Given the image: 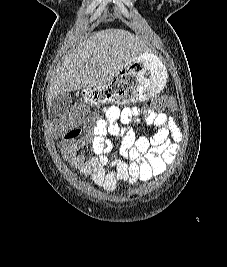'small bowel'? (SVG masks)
Segmentation results:
<instances>
[{"mask_svg":"<svg viewBox=\"0 0 227 267\" xmlns=\"http://www.w3.org/2000/svg\"><path fill=\"white\" fill-rule=\"evenodd\" d=\"M99 114L93 126L73 127L58 141L64 158L82 178L112 193L119 182H147L163 174L174 162L182 133L170 114L139 106L114 105L103 106ZM141 123L153 130L151 135L140 136L134 132L132 125ZM109 136L121 138L120 152L125 161L106 158L113 147ZM89 145L92 155L82 152Z\"/></svg>","mask_w":227,"mask_h":267,"instance_id":"obj_1","label":"small bowel"}]
</instances>
